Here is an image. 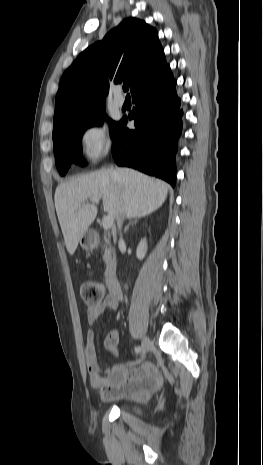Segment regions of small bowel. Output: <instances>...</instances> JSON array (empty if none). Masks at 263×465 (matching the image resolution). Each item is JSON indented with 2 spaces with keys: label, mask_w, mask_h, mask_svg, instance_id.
I'll use <instances>...</instances> for the list:
<instances>
[{
  "label": "small bowel",
  "mask_w": 263,
  "mask_h": 465,
  "mask_svg": "<svg viewBox=\"0 0 263 465\" xmlns=\"http://www.w3.org/2000/svg\"><path fill=\"white\" fill-rule=\"evenodd\" d=\"M119 301L120 297L109 293L102 302L89 307L87 309L89 326L92 327L95 324L105 309H116ZM118 342V334L111 332L105 339V347L117 355ZM84 356L90 383L100 391L104 400L144 397L156 390L161 383L156 367L151 362H144L136 366L117 365L103 373L97 359L92 328H89L86 334Z\"/></svg>",
  "instance_id": "c3829d8e"
}]
</instances>
